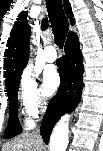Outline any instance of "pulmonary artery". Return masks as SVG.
<instances>
[{"label": "pulmonary artery", "mask_w": 103, "mask_h": 151, "mask_svg": "<svg viewBox=\"0 0 103 151\" xmlns=\"http://www.w3.org/2000/svg\"><path fill=\"white\" fill-rule=\"evenodd\" d=\"M44 58L47 62H54L57 59V52L53 45H48L44 49Z\"/></svg>", "instance_id": "e3ab8cb5"}]
</instances>
